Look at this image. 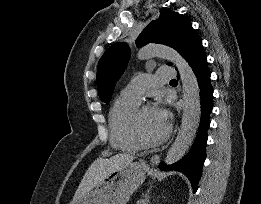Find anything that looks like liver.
<instances>
[{"mask_svg": "<svg viewBox=\"0 0 261 204\" xmlns=\"http://www.w3.org/2000/svg\"><path fill=\"white\" fill-rule=\"evenodd\" d=\"M133 160L134 156L125 153L116 154L108 159H96L83 176L72 202L91 191L110 173L132 163Z\"/></svg>", "mask_w": 261, "mask_h": 204, "instance_id": "1", "label": "liver"}]
</instances>
